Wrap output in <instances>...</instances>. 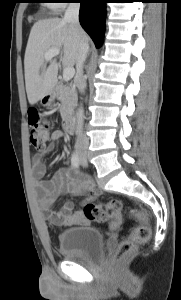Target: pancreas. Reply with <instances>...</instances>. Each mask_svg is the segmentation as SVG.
Wrapping results in <instances>:
<instances>
[{"label": "pancreas", "mask_w": 181, "mask_h": 300, "mask_svg": "<svg viewBox=\"0 0 181 300\" xmlns=\"http://www.w3.org/2000/svg\"><path fill=\"white\" fill-rule=\"evenodd\" d=\"M57 98L61 102L60 114L63 119L71 115L77 102V94L74 85L59 84L56 87Z\"/></svg>", "instance_id": "1"}]
</instances>
